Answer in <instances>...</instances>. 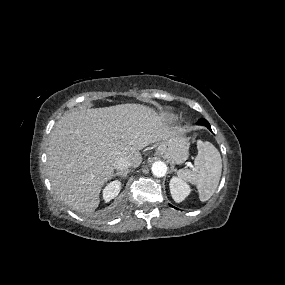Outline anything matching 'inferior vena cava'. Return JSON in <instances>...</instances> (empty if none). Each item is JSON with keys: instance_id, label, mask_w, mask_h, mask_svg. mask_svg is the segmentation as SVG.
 <instances>
[{"instance_id": "obj_1", "label": "inferior vena cava", "mask_w": 285, "mask_h": 285, "mask_svg": "<svg viewBox=\"0 0 285 285\" xmlns=\"http://www.w3.org/2000/svg\"><path fill=\"white\" fill-rule=\"evenodd\" d=\"M132 166V163L125 159V158H117L114 162V168L119 171L127 170L129 167Z\"/></svg>"}]
</instances>
